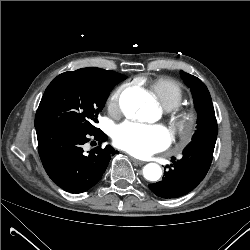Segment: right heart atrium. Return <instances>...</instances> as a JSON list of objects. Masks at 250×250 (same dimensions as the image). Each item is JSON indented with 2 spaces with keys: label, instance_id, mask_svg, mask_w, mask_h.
Listing matches in <instances>:
<instances>
[{
  "label": "right heart atrium",
  "instance_id": "d8ad5b80",
  "mask_svg": "<svg viewBox=\"0 0 250 250\" xmlns=\"http://www.w3.org/2000/svg\"><path fill=\"white\" fill-rule=\"evenodd\" d=\"M122 89L117 88L115 89L107 100V107L112 114H117L120 112V96H121Z\"/></svg>",
  "mask_w": 250,
  "mask_h": 250
}]
</instances>
